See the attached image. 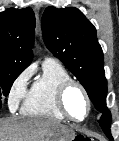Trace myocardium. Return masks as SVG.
Returning a JSON list of instances; mask_svg holds the SVG:
<instances>
[{
  "mask_svg": "<svg viewBox=\"0 0 119 141\" xmlns=\"http://www.w3.org/2000/svg\"><path fill=\"white\" fill-rule=\"evenodd\" d=\"M72 87H77L82 92V94L85 97L86 103H87V112H86V115L82 119L73 118L69 114L66 108L65 98H66L67 92ZM56 104H57V108L59 112L64 116L65 119H68L72 122H77V123L85 121L88 118V116L90 115L91 109H92L91 98L86 88L80 82L75 81L73 79L67 80L59 85L57 92H56Z\"/></svg>",
  "mask_w": 119,
  "mask_h": 141,
  "instance_id": "myocardium-1",
  "label": "myocardium"
}]
</instances>
